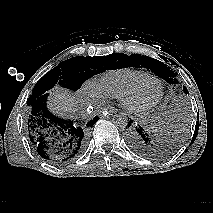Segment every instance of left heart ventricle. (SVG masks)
<instances>
[{
  "mask_svg": "<svg viewBox=\"0 0 213 213\" xmlns=\"http://www.w3.org/2000/svg\"><path fill=\"white\" fill-rule=\"evenodd\" d=\"M158 92H159L158 86L156 84H151L145 89L144 96L146 99H153L154 97L157 96Z\"/></svg>",
  "mask_w": 213,
  "mask_h": 213,
  "instance_id": "obj_1",
  "label": "left heart ventricle"
}]
</instances>
